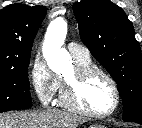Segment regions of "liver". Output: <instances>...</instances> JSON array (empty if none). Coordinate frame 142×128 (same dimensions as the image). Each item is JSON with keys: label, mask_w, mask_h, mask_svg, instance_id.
<instances>
[{"label": "liver", "mask_w": 142, "mask_h": 128, "mask_svg": "<svg viewBox=\"0 0 142 128\" xmlns=\"http://www.w3.org/2000/svg\"><path fill=\"white\" fill-rule=\"evenodd\" d=\"M83 119L56 109L0 114V128H77Z\"/></svg>", "instance_id": "obj_1"}]
</instances>
